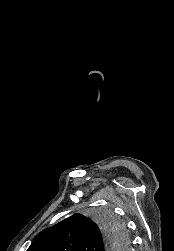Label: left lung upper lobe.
<instances>
[{
  "mask_svg": "<svg viewBox=\"0 0 174 251\" xmlns=\"http://www.w3.org/2000/svg\"><path fill=\"white\" fill-rule=\"evenodd\" d=\"M128 246L125 226L110 215L91 220L74 214L41 231L27 251H123Z\"/></svg>",
  "mask_w": 174,
  "mask_h": 251,
  "instance_id": "left-lung-upper-lobe-1",
  "label": "left lung upper lobe"
}]
</instances>
